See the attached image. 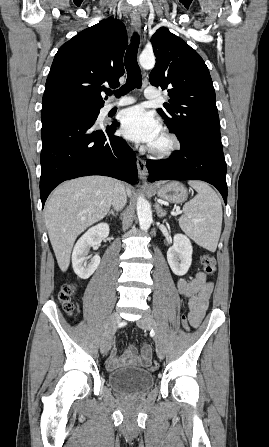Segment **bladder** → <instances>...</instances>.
<instances>
[{"label": "bladder", "mask_w": 269, "mask_h": 447, "mask_svg": "<svg viewBox=\"0 0 269 447\" xmlns=\"http://www.w3.org/2000/svg\"><path fill=\"white\" fill-rule=\"evenodd\" d=\"M108 384L124 397L142 396L154 386V375L148 370L123 367L108 374Z\"/></svg>", "instance_id": "obj_1"}]
</instances>
